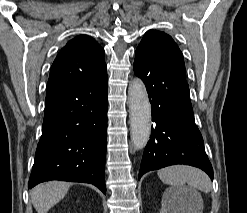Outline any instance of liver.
Masks as SVG:
<instances>
[{"mask_svg":"<svg viewBox=\"0 0 247 213\" xmlns=\"http://www.w3.org/2000/svg\"><path fill=\"white\" fill-rule=\"evenodd\" d=\"M71 183L50 181L39 184L31 191V201L37 213H47L67 194Z\"/></svg>","mask_w":247,"mask_h":213,"instance_id":"liver-1","label":"liver"}]
</instances>
